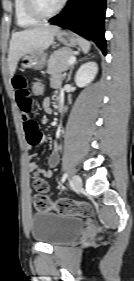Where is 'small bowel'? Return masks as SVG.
I'll use <instances>...</instances> for the list:
<instances>
[{"instance_id": "obj_1", "label": "small bowel", "mask_w": 134, "mask_h": 281, "mask_svg": "<svg viewBox=\"0 0 134 281\" xmlns=\"http://www.w3.org/2000/svg\"><path fill=\"white\" fill-rule=\"evenodd\" d=\"M12 87L15 93L17 105L21 112V119L26 134V141L29 148L40 145L45 141L44 135L40 132L37 123L30 117L32 109V93L30 90L29 78L22 73L15 74L11 80ZM62 83V76L54 74L51 78V85L57 88ZM46 101H49L48 99ZM37 156L33 153L29 157L28 168L30 172L41 175L44 178L53 176L52 169L55 168L60 161V150L57 143H54V149L48 159V168L39 169L34 159Z\"/></svg>"}]
</instances>
